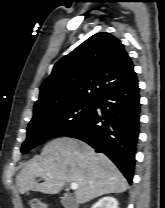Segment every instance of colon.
<instances>
[{
    "label": "colon",
    "instance_id": "colon-1",
    "mask_svg": "<svg viewBox=\"0 0 165 208\" xmlns=\"http://www.w3.org/2000/svg\"><path fill=\"white\" fill-rule=\"evenodd\" d=\"M30 208H48L46 204L38 199H33L30 203Z\"/></svg>",
    "mask_w": 165,
    "mask_h": 208
}]
</instances>
